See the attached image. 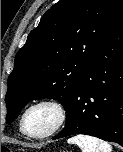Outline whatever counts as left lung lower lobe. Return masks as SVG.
<instances>
[{
    "mask_svg": "<svg viewBox=\"0 0 123 152\" xmlns=\"http://www.w3.org/2000/svg\"><path fill=\"white\" fill-rule=\"evenodd\" d=\"M65 110L66 125L53 139L85 134L123 146V3Z\"/></svg>",
    "mask_w": 123,
    "mask_h": 152,
    "instance_id": "0a47b994",
    "label": "left lung lower lobe"
}]
</instances>
